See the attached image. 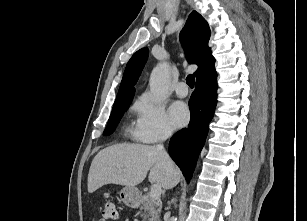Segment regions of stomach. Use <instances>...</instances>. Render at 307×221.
Masks as SVG:
<instances>
[{"instance_id": "stomach-1", "label": "stomach", "mask_w": 307, "mask_h": 221, "mask_svg": "<svg viewBox=\"0 0 307 221\" xmlns=\"http://www.w3.org/2000/svg\"><path fill=\"white\" fill-rule=\"evenodd\" d=\"M121 200L130 207H136L140 203V192L136 187H124L120 191Z\"/></svg>"}]
</instances>
